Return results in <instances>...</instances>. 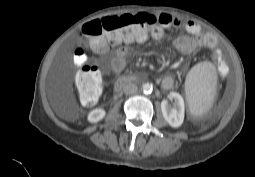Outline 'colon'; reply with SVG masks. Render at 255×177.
Listing matches in <instances>:
<instances>
[{"label": "colon", "mask_w": 255, "mask_h": 177, "mask_svg": "<svg viewBox=\"0 0 255 177\" xmlns=\"http://www.w3.org/2000/svg\"><path fill=\"white\" fill-rule=\"evenodd\" d=\"M166 25L162 14L139 12L109 16L86 23L82 28V42H90L96 50L104 51L109 46L142 39L149 32L159 36ZM74 62L79 67L75 77L79 98L83 104L93 105L102 92L101 73L97 67L87 64L86 50L82 45L74 50Z\"/></svg>", "instance_id": "obj_1"}]
</instances>
